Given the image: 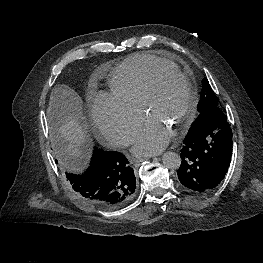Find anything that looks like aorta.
<instances>
[{
  "mask_svg": "<svg viewBox=\"0 0 263 263\" xmlns=\"http://www.w3.org/2000/svg\"><path fill=\"white\" fill-rule=\"evenodd\" d=\"M163 165L171 170L178 169L181 165V158L175 152H166L162 156Z\"/></svg>",
  "mask_w": 263,
  "mask_h": 263,
  "instance_id": "obj_1",
  "label": "aorta"
}]
</instances>
